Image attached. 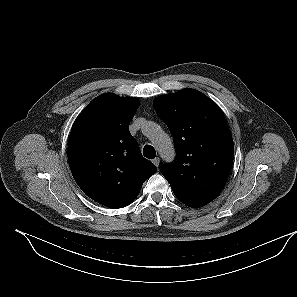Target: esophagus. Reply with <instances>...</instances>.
Instances as JSON below:
<instances>
[{
  "mask_svg": "<svg viewBox=\"0 0 297 297\" xmlns=\"http://www.w3.org/2000/svg\"><path fill=\"white\" fill-rule=\"evenodd\" d=\"M152 162L154 163V165H155L156 167H158V166H159V163H160V159H159L158 157H156V158H154V159L152 160Z\"/></svg>",
  "mask_w": 297,
  "mask_h": 297,
  "instance_id": "34e87169",
  "label": "esophagus"
}]
</instances>
